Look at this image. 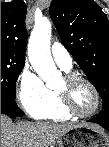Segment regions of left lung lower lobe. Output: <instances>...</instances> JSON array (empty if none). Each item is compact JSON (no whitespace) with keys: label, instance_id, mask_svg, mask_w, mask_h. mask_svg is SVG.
Segmentation results:
<instances>
[{"label":"left lung lower lobe","instance_id":"0a47b994","mask_svg":"<svg viewBox=\"0 0 109 147\" xmlns=\"http://www.w3.org/2000/svg\"><path fill=\"white\" fill-rule=\"evenodd\" d=\"M88 122L97 123L109 131V108L103 109V111L98 116L88 120Z\"/></svg>","mask_w":109,"mask_h":147}]
</instances>
